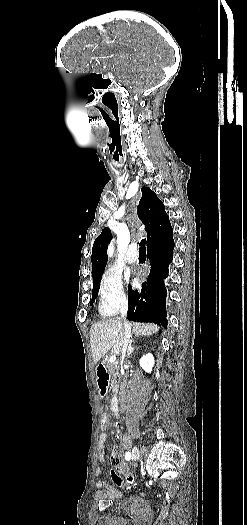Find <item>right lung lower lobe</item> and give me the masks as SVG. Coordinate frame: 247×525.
Wrapping results in <instances>:
<instances>
[{
    "instance_id": "right-lung-lower-lobe-1",
    "label": "right lung lower lobe",
    "mask_w": 247,
    "mask_h": 525,
    "mask_svg": "<svg viewBox=\"0 0 247 525\" xmlns=\"http://www.w3.org/2000/svg\"><path fill=\"white\" fill-rule=\"evenodd\" d=\"M170 223L147 239V254L151 264L147 286L140 291L128 292V318L167 325L166 289L163 279L168 276V265L173 259L174 240Z\"/></svg>"
}]
</instances>
